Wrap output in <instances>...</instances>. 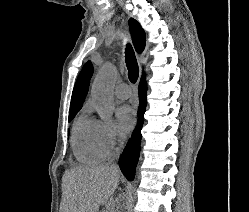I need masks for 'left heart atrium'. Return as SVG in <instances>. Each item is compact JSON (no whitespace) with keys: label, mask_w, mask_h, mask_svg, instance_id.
Wrapping results in <instances>:
<instances>
[{"label":"left heart atrium","mask_w":249,"mask_h":212,"mask_svg":"<svg viewBox=\"0 0 249 212\" xmlns=\"http://www.w3.org/2000/svg\"><path fill=\"white\" fill-rule=\"evenodd\" d=\"M136 117L133 109L128 105H123L116 110L115 128L119 136L128 134L135 125Z\"/></svg>","instance_id":"left-heart-atrium-1"}]
</instances>
